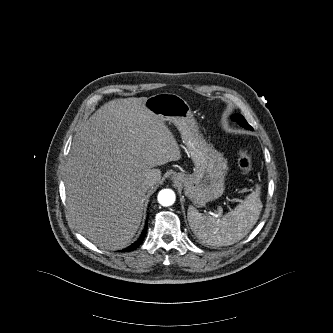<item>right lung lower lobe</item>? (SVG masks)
Segmentation results:
<instances>
[{
    "label": "right lung lower lobe",
    "mask_w": 333,
    "mask_h": 333,
    "mask_svg": "<svg viewBox=\"0 0 333 333\" xmlns=\"http://www.w3.org/2000/svg\"><path fill=\"white\" fill-rule=\"evenodd\" d=\"M146 231H147V225L145 226V229L141 235V237L135 242L133 243L131 246H129L128 248L124 249L123 252H126V251H131L133 249H135L136 247H138L140 245V243L142 242L145 234H146Z\"/></svg>",
    "instance_id": "right-lung-lower-lobe-1"
}]
</instances>
